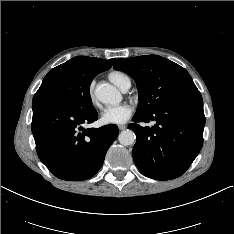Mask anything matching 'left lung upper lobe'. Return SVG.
<instances>
[{
	"mask_svg": "<svg viewBox=\"0 0 234 234\" xmlns=\"http://www.w3.org/2000/svg\"><path fill=\"white\" fill-rule=\"evenodd\" d=\"M113 67L127 73L137 84L139 104L134 117L148 115L171 100L198 90L183 67L161 56L119 58Z\"/></svg>",
	"mask_w": 234,
	"mask_h": 234,
	"instance_id": "5c2ea615",
	"label": "left lung upper lobe"
}]
</instances>
